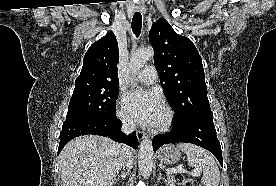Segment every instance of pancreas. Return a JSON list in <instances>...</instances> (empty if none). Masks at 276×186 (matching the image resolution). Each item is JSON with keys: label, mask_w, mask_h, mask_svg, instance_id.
<instances>
[{"label": "pancreas", "mask_w": 276, "mask_h": 186, "mask_svg": "<svg viewBox=\"0 0 276 186\" xmlns=\"http://www.w3.org/2000/svg\"><path fill=\"white\" fill-rule=\"evenodd\" d=\"M168 183L170 184V186H174V180L173 177H169Z\"/></svg>", "instance_id": "obj_1"}]
</instances>
